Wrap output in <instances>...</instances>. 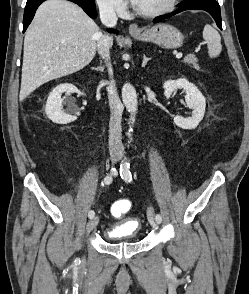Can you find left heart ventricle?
I'll use <instances>...</instances> for the list:
<instances>
[{
    "instance_id": "obj_1",
    "label": "left heart ventricle",
    "mask_w": 249,
    "mask_h": 294,
    "mask_svg": "<svg viewBox=\"0 0 249 294\" xmlns=\"http://www.w3.org/2000/svg\"><path fill=\"white\" fill-rule=\"evenodd\" d=\"M171 0H135L136 5L142 10L153 11L166 7Z\"/></svg>"
}]
</instances>
